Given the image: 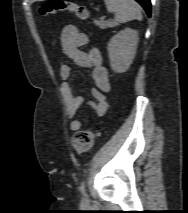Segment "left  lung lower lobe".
Wrapping results in <instances>:
<instances>
[{
	"mask_svg": "<svg viewBox=\"0 0 188 213\" xmlns=\"http://www.w3.org/2000/svg\"><path fill=\"white\" fill-rule=\"evenodd\" d=\"M138 3L142 5V7L147 12L148 16L151 14V2L150 0H136Z\"/></svg>",
	"mask_w": 188,
	"mask_h": 213,
	"instance_id": "1",
	"label": "left lung lower lobe"
}]
</instances>
